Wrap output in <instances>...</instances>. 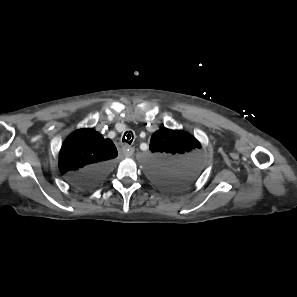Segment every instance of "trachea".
<instances>
[{
  "mask_svg": "<svg viewBox=\"0 0 297 297\" xmlns=\"http://www.w3.org/2000/svg\"><path fill=\"white\" fill-rule=\"evenodd\" d=\"M132 141H133V133L131 131L129 133L125 132V134L122 138V142L128 143L130 145L132 143Z\"/></svg>",
  "mask_w": 297,
  "mask_h": 297,
  "instance_id": "obj_1",
  "label": "trachea"
}]
</instances>
